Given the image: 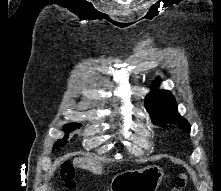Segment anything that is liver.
Wrapping results in <instances>:
<instances>
[{
    "label": "liver",
    "mask_w": 221,
    "mask_h": 191,
    "mask_svg": "<svg viewBox=\"0 0 221 191\" xmlns=\"http://www.w3.org/2000/svg\"><path fill=\"white\" fill-rule=\"evenodd\" d=\"M74 164L83 169L92 171L94 173L102 172V165L96 160L91 158H76L74 160Z\"/></svg>",
    "instance_id": "liver-1"
}]
</instances>
